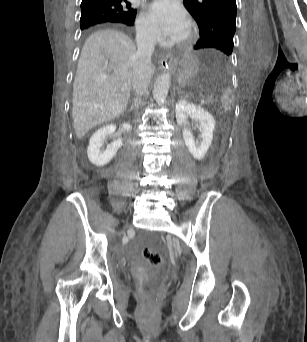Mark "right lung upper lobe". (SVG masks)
I'll return each instance as SVG.
<instances>
[{
    "label": "right lung upper lobe",
    "mask_w": 307,
    "mask_h": 342,
    "mask_svg": "<svg viewBox=\"0 0 307 342\" xmlns=\"http://www.w3.org/2000/svg\"><path fill=\"white\" fill-rule=\"evenodd\" d=\"M87 9H109L119 13V17L106 21L125 26H132L136 17V10L131 8V3L127 0H82L81 10ZM105 23V22H101ZM100 24V23H98ZM96 25V24H94ZM93 26V25H92ZM90 27V26H89ZM89 27L82 30H87Z\"/></svg>",
    "instance_id": "1"
}]
</instances>
